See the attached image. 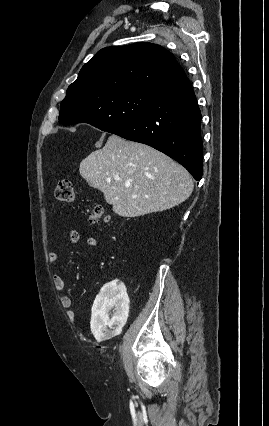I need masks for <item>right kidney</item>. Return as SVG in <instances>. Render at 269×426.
Wrapping results in <instances>:
<instances>
[{"label": "right kidney", "instance_id": "1", "mask_svg": "<svg viewBox=\"0 0 269 426\" xmlns=\"http://www.w3.org/2000/svg\"><path fill=\"white\" fill-rule=\"evenodd\" d=\"M113 315L109 317V311ZM129 298L123 281H111L105 285L96 297L91 315V331L97 341L107 340L111 337L113 326H119L122 317L128 312Z\"/></svg>", "mask_w": 269, "mask_h": 426}]
</instances>
